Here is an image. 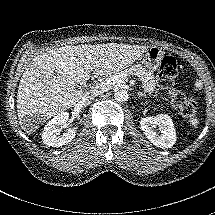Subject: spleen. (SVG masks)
<instances>
[{"label":"spleen","mask_w":215,"mask_h":215,"mask_svg":"<svg viewBox=\"0 0 215 215\" xmlns=\"http://www.w3.org/2000/svg\"><path fill=\"white\" fill-rule=\"evenodd\" d=\"M189 122H190V124L193 126V127H197L198 126V124H199V121H198V119L195 117V116H191L190 117V119H189Z\"/></svg>","instance_id":"obj_1"}]
</instances>
